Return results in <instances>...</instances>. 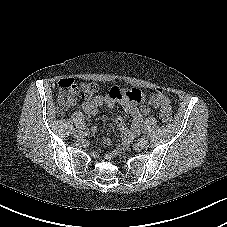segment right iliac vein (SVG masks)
Instances as JSON below:
<instances>
[{"label":"right iliac vein","instance_id":"1","mask_svg":"<svg viewBox=\"0 0 227 227\" xmlns=\"http://www.w3.org/2000/svg\"><path fill=\"white\" fill-rule=\"evenodd\" d=\"M84 136V132L81 131V130H77L74 132V137L77 138V139H80Z\"/></svg>","mask_w":227,"mask_h":227}]
</instances>
